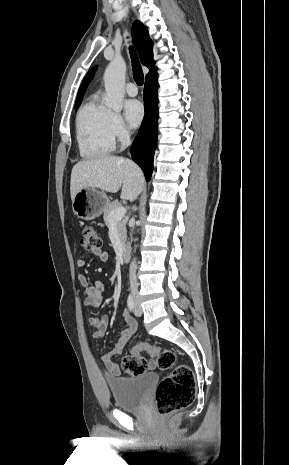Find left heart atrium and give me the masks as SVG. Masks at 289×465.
<instances>
[{"label":"left heart atrium","mask_w":289,"mask_h":465,"mask_svg":"<svg viewBox=\"0 0 289 465\" xmlns=\"http://www.w3.org/2000/svg\"><path fill=\"white\" fill-rule=\"evenodd\" d=\"M124 113L130 126L135 128L144 118V107L138 100H127L124 104Z\"/></svg>","instance_id":"left-heart-atrium-1"}]
</instances>
